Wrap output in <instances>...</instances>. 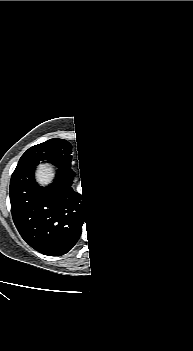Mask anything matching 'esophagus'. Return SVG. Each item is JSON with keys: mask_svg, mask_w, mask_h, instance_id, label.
<instances>
[{"mask_svg": "<svg viewBox=\"0 0 193 351\" xmlns=\"http://www.w3.org/2000/svg\"><path fill=\"white\" fill-rule=\"evenodd\" d=\"M98 200H99V202H101V203H105V202L108 201V197H107L106 194H103V193H102V194L99 195Z\"/></svg>", "mask_w": 193, "mask_h": 351, "instance_id": "obj_1", "label": "esophagus"}]
</instances>
